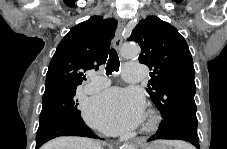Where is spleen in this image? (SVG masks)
Returning <instances> with one entry per match:
<instances>
[{
  "label": "spleen",
  "mask_w": 227,
  "mask_h": 149,
  "mask_svg": "<svg viewBox=\"0 0 227 149\" xmlns=\"http://www.w3.org/2000/svg\"><path fill=\"white\" fill-rule=\"evenodd\" d=\"M165 145H171L174 146L175 149H190L191 147L187 145L184 142L180 141H170V142H164Z\"/></svg>",
  "instance_id": "obj_1"
}]
</instances>
